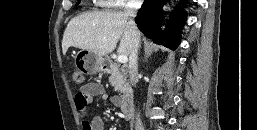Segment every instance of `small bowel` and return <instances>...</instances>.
Here are the masks:
<instances>
[{
  "instance_id": "small-bowel-1",
  "label": "small bowel",
  "mask_w": 257,
  "mask_h": 130,
  "mask_svg": "<svg viewBox=\"0 0 257 130\" xmlns=\"http://www.w3.org/2000/svg\"><path fill=\"white\" fill-rule=\"evenodd\" d=\"M94 96H99L102 100H108L109 95L104 87L99 83H88L82 87L75 95V106L79 116L82 118V130H105V122L102 116L97 115L91 120H87L88 105ZM115 104L119 103L118 98H111Z\"/></svg>"
}]
</instances>
